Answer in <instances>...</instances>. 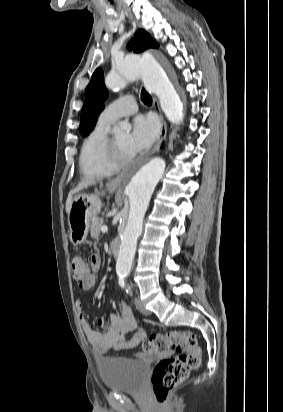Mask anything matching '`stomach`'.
Here are the masks:
<instances>
[{
  "instance_id": "1",
  "label": "stomach",
  "mask_w": 283,
  "mask_h": 412,
  "mask_svg": "<svg viewBox=\"0 0 283 412\" xmlns=\"http://www.w3.org/2000/svg\"><path fill=\"white\" fill-rule=\"evenodd\" d=\"M113 192L116 188L109 187ZM102 203L97 195L81 194L74 198L68 214L69 238L73 245L83 243L88 235L92 219L100 212Z\"/></svg>"
}]
</instances>
